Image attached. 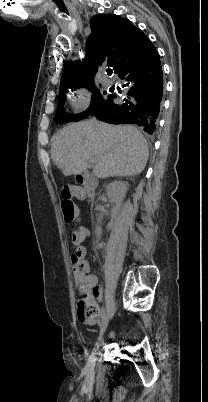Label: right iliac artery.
Returning <instances> with one entry per match:
<instances>
[{
    "label": "right iliac artery",
    "instance_id": "right-iliac-artery-1",
    "mask_svg": "<svg viewBox=\"0 0 208 402\" xmlns=\"http://www.w3.org/2000/svg\"><path fill=\"white\" fill-rule=\"evenodd\" d=\"M106 316L105 309H102L101 320L103 321Z\"/></svg>",
    "mask_w": 208,
    "mask_h": 402
}]
</instances>
